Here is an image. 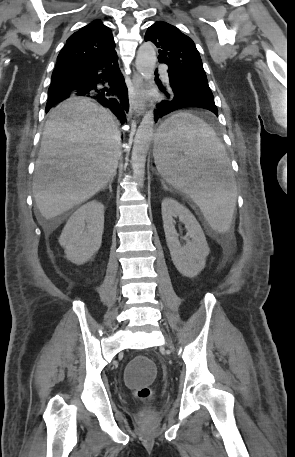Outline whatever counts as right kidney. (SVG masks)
I'll list each match as a JSON object with an SVG mask.
<instances>
[{"label": "right kidney", "instance_id": "obj_1", "mask_svg": "<svg viewBox=\"0 0 295 457\" xmlns=\"http://www.w3.org/2000/svg\"><path fill=\"white\" fill-rule=\"evenodd\" d=\"M104 229V206L96 200L81 206L67 221L59 239L66 258L86 263L99 250Z\"/></svg>", "mask_w": 295, "mask_h": 457}]
</instances>
